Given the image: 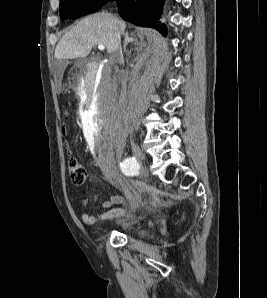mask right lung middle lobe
<instances>
[{"label":"right lung middle lobe","mask_w":267,"mask_h":298,"mask_svg":"<svg viewBox=\"0 0 267 298\" xmlns=\"http://www.w3.org/2000/svg\"><path fill=\"white\" fill-rule=\"evenodd\" d=\"M107 0H60V17L79 18L98 11Z\"/></svg>","instance_id":"obj_1"}]
</instances>
